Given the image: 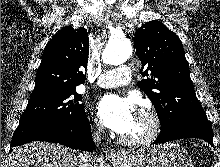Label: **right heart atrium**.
<instances>
[{
  "instance_id": "right-heart-atrium-1",
  "label": "right heart atrium",
  "mask_w": 220,
  "mask_h": 167,
  "mask_svg": "<svg viewBox=\"0 0 220 167\" xmlns=\"http://www.w3.org/2000/svg\"><path fill=\"white\" fill-rule=\"evenodd\" d=\"M101 125L98 123V122H96L95 124H94V127H93V130L95 131V132H99V131H101Z\"/></svg>"
}]
</instances>
